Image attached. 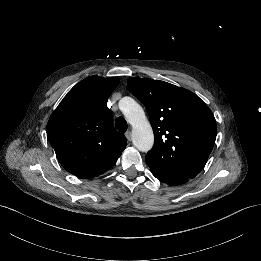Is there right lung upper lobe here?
<instances>
[{
    "mask_svg": "<svg viewBox=\"0 0 261 261\" xmlns=\"http://www.w3.org/2000/svg\"><path fill=\"white\" fill-rule=\"evenodd\" d=\"M117 78L90 76L75 85L52 113L47 137L60 164L82 178L109 170L127 145L113 127L107 100Z\"/></svg>",
    "mask_w": 261,
    "mask_h": 261,
    "instance_id": "cb5924a9",
    "label": "right lung upper lobe"
}]
</instances>
